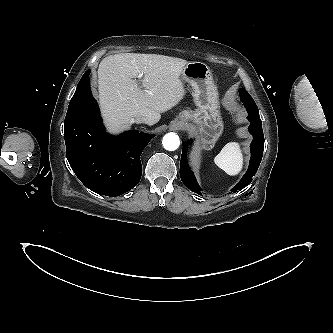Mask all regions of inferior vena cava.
Here are the masks:
<instances>
[{"label":"inferior vena cava","mask_w":333,"mask_h":333,"mask_svg":"<svg viewBox=\"0 0 333 333\" xmlns=\"http://www.w3.org/2000/svg\"><path fill=\"white\" fill-rule=\"evenodd\" d=\"M134 122L136 123H146L148 124V119L146 117H143V116H139V117H136Z\"/></svg>","instance_id":"1"}]
</instances>
